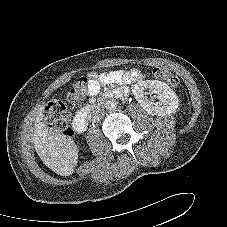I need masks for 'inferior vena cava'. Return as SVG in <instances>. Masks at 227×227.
<instances>
[{"label": "inferior vena cava", "mask_w": 227, "mask_h": 227, "mask_svg": "<svg viewBox=\"0 0 227 227\" xmlns=\"http://www.w3.org/2000/svg\"><path fill=\"white\" fill-rule=\"evenodd\" d=\"M105 114V110L103 108H95L92 110V112L90 113L89 118L93 121V122H97L100 119L103 118Z\"/></svg>", "instance_id": "inferior-vena-cava-1"}]
</instances>
